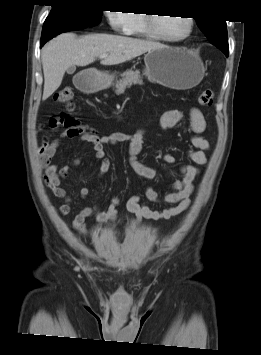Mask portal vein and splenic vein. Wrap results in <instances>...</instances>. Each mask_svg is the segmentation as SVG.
Instances as JSON below:
<instances>
[{
  "label": "portal vein and splenic vein",
  "instance_id": "18ae733b",
  "mask_svg": "<svg viewBox=\"0 0 261 355\" xmlns=\"http://www.w3.org/2000/svg\"><path fill=\"white\" fill-rule=\"evenodd\" d=\"M107 56H108V54L105 53V54L100 55L99 58L103 59V58H106Z\"/></svg>",
  "mask_w": 261,
  "mask_h": 355
}]
</instances>
